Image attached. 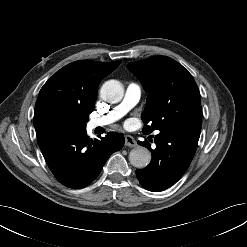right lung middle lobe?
<instances>
[{"label": "right lung middle lobe", "mask_w": 247, "mask_h": 247, "mask_svg": "<svg viewBox=\"0 0 247 247\" xmlns=\"http://www.w3.org/2000/svg\"><path fill=\"white\" fill-rule=\"evenodd\" d=\"M88 114L63 109L48 111L40 123L41 132L54 130L61 132H75L86 128Z\"/></svg>", "instance_id": "dd1d6c3e"}]
</instances>
